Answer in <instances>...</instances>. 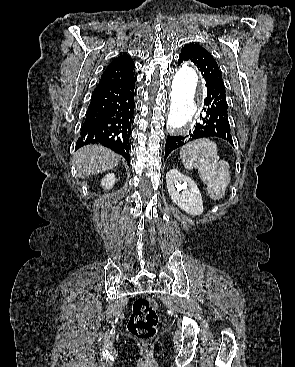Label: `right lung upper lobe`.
Instances as JSON below:
<instances>
[{"instance_id":"obj_1","label":"right lung upper lobe","mask_w":295,"mask_h":367,"mask_svg":"<svg viewBox=\"0 0 295 367\" xmlns=\"http://www.w3.org/2000/svg\"><path fill=\"white\" fill-rule=\"evenodd\" d=\"M135 80L134 63L127 54H123L107 66L99 83L122 84Z\"/></svg>"}]
</instances>
